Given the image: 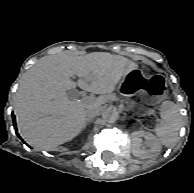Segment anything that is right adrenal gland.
Listing matches in <instances>:
<instances>
[{"label": "right adrenal gland", "instance_id": "obj_1", "mask_svg": "<svg viewBox=\"0 0 194 193\" xmlns=\"http://www.w3.org/2000/svg\"><path fill=\"white\" fill-rule=\"evenodd\" d=\"M86 121L89 122V121H91V120L88 119V120H86ZM86 125H87V124H86ZM86 125H85V126H86Z\"/></svg>", "mask_w": 194, "mask_h": 193}]
</instances>
